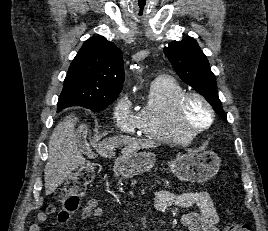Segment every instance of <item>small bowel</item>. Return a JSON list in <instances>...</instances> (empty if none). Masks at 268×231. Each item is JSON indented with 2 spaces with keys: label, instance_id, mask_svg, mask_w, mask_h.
<instances>
[{
  "label": "small bowel",
  "instance_id": "c3829d8e",
  "mask_svg": "<svg viewBox=\"0 0 268 231\" xmlns=\"http://www.w3.org/2000/svg\"><path fill=\"white\" fill-rule=\"evenodd\" d=\"M157 211H165L169 208L197 207L198 212H188L182 215L181 223L188 231H219L217 228L218 213L209 193L195 191L186 193H174L159 191L154 200ZM104 209L99 205L96 197H91L82 210V217L86 220L101 217ZM43 216V217H42ZM48 212L38 214V220L44 222ZM29 231H41L39 224H32Z\"/></svg>",
  "mask_w": 268,
  "mask_h": 231
}]
</instances>
